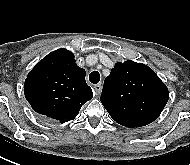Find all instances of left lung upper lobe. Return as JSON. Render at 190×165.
<instances>
[{
  "label": "left lung upper lobe",
  "mask_w": 190,
  "mask_h": 165,
  "mask_svg": "<svg viewBox=\"0 0 190 165\" xmlns=\"http://www.w3.org/2000/svg\"><path fill=\"white\" fill-rule=\"evenodd\" d=\"M168 98L166 85L148 66L128 60L115 64L100 100L114 121L135 128L153 122Z\"/></svg>",
  "instance_id": "5c2ea615"
}]
</instances>
